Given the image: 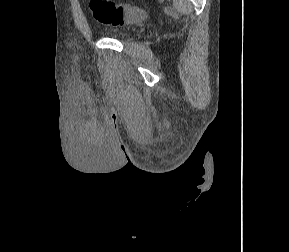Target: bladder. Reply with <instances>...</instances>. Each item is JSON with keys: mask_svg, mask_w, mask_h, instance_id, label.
Here are the masks:
<instances>
[{"mask_svg": "<svg viewBox=\"0 0 289 252\" xmlns=\"http://www.w3.org/2000/svg\"><path fill=\"white\" fill-rule=\"evenodd\" d=\"M115 36L119 39H127L129 37V34L127 33H119V34H115Z\"/></svg>", "mask_w": 289, "mask_h": 252, "instance_id": "bladder-1", "label": "bladder"}]
</instances>
